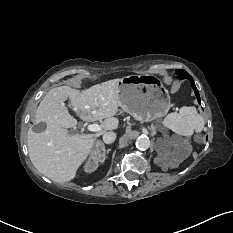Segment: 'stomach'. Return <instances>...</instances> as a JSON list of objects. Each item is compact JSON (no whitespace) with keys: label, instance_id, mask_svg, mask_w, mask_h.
<instances>
[{"label":"stomach","instance_id":"0dacf381","mask_svg":"<svg viewBox=\"0 0 233 233\" xmlns=\"http://www.w3.org/2000/svg\"><path fill=\"white\" fill-rule=\"evenodd\" d=\"M120 107L135 120L162 118L170 108V97L160 79L152 74L129 75L118 84Z\"/></svg>","mask_w":233,"mask_h":233}]
</instances>
